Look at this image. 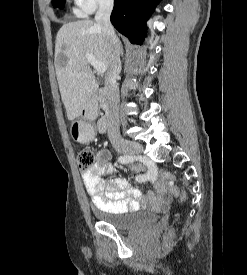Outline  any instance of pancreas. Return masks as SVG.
<instances>
[{"instance_id":"pancreas-1","label":"pancreas","mask_w":247,"mask_h":275,"mask_svg":"<svg viewBox=\"0 0 247 275\" xmlns=\"http://www.w3.org/2000/svg\"><path fill=\"white\" fill-rule=\"evenodd\" d=\"M100 106H101L103 109H106V105L104 104L103 101H100Z\"/></svg>"}]
</instances>
